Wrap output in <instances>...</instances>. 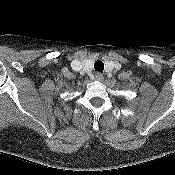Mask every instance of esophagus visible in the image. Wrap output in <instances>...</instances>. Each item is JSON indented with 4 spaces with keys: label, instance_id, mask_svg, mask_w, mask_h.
Masks as SVG:
<instances>
[{
    "label": "esophagus",
    "instance_id": "esophagus-1",
    "mask_svg": "<svg viewBox=\"0 0 175 175\" xmlns=\"http://www.w3.org/2000/svg\"><path fill=\"white\" fill-rule=\"evenodd\" d=\"M94 79L96 81H102L103 80V75L100 72L95 73Z\"/></svg>",
    "mask_w": 175,
    "mask_h": 175
}]
</instances>
